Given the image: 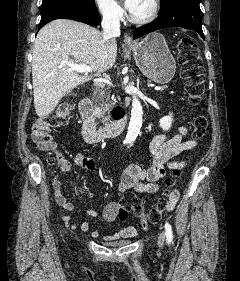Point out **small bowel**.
Listing matches in <instances>:
<instances>
[{"mask_svg": "<svg viewBox=\"0 0 240 281\" xmlns=\"http://www.w3.org/2000/svg\"><path fill=\"white\" fill-rule=\"evenodd\" d=\"M187 134L186 127H180L178 133L172 137L166 134H157L149 144V151L153 156L152 164L148 168H142L138 164H130L123 170L117 171L120 176V183L117 187L118 200L109 202L102 211V217L107 223H113L117 219L120 199L128 191L135 193L154 194L159 190V181L166 175L167 170H176L184 167V162L174 158L183 151L191 150L197 145L195 139H184ZM96 172L97 164L93 158L78 153L73 161L61 156L59 167L62 173L68 174L72 167ZM54 198L56 203L67 211H73L74 205L69 202L62 191V182L55 178L52 181ZM179 201V191L173 190L168 199L167 211H172ZM88 216L96 217L97 212L92 209L85 211ZM62 219L69 221V217L62 216ZM72 229L87 232L89 225L86 222L72 225ZM136 234L134 227L121 229L117 237H131ZM93 237L98 236L97 231L91 233Z\"/></svg>", "mask_w": 240, "mask_h": 281, "instance_id": "1", "label": "small bowel"}]
</instances>
